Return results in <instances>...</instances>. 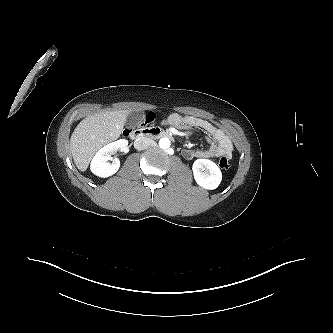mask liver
Masks as SVG:
<instances>
[{"label":"liver","mask_w":333,"mask_h":333,"mask_svg":"<svg viewBox=\"0 0 333 333\" xmlns=\"http://www.w3.org/2000/svg\"><path fill=\"white\" fill-rule=\"evenodd\" d=\"M127 111H106L83 119L72 133L70 143L74 162L86 171L95 153L119 138L128 117Z\"/></svg>","instance_id":"6515ba94"}]
</instances>
